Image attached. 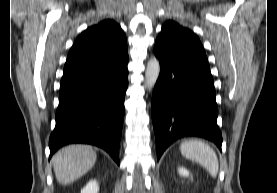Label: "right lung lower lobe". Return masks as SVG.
Instances as JSON below:
<instances>
[{"mask_svg":"<svg viewBox=\"0 0 277 193\" xmlns=\"http://www.w3.org/2000/svg\"><path fill=\"white\" fill-rule=\"evenodd\" d=\"M128 52L98 69L63 76L50 157L70 143L98 146L119 164V144L128 87Z\"/></svg>","mask_w":277,"mask_h":193,"instance_id":"98d812e1","label":"right lung lower lobe"}]
</instances>
